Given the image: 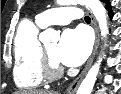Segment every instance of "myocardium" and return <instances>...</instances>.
I'll use <instances>...</instances> for the list:
<instances>
[{"instance_id":"obj_1","label":"myocardium","mask_w":121,"mask_h":94,"mask_svg":"<svg viewBox=\"0 0 121 94\" xmlns=\"http://www.w3.org/2000/svg\"><path fill=\"white\" fill-rule=\"evenodd\" d=\"M41 73L44 79L53 81L59 78L64 69L50 56L45 46L41 45Z\"/></svg>"}]
</instances>
